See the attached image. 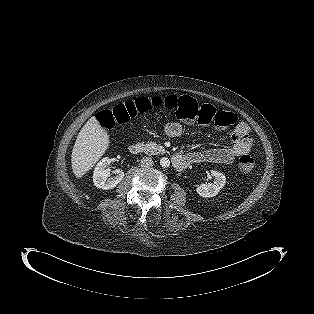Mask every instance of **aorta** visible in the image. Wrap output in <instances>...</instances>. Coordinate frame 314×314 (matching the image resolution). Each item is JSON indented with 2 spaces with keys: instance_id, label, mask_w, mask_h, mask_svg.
Wrapping results in <instances>:
<instances>
[{
  "instance_id": "aorta-1",
  "label": "aorta",
  "mask_w": 314,
  "mask_h": 314,
  "mask_svg": "<svg viewBox=\"0 0 314 314\" xmlns=\"http://www.w3.org/2000/svg\"><path fill=\"white\" fill-rule=\"evenodd\" d=\"M160 165L162 167H168L170 165V160L167 157H163L160 159Z\"/></svg>"
}]
</instances>
